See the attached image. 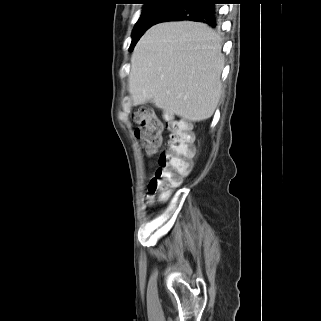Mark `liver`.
Masks as SVG:
<instances>
[{"label":"liver","instance_id":"1","mask_svg":"<svg viewBox=\"0 0 321 321\" xmlns=\"http://www.w3.org/2000/svg\"><path fill=\"white\" fill-rule=\"evenodd\" d=\"M221 49L218 34L202 23L167 22L151 27L131 57L133 104L151 101L192 122L210 118L222 90Z\"/></svg>","mask_w":321,"mask_h":321}]
</instances>
